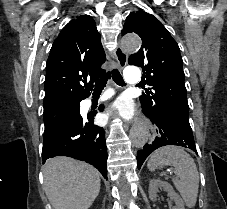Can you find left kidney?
Returning a JSON list of instances; mask_svg holds the SVG:
<instances>
[{"label":"left kidney","instance_id":"left-kidney-1","mask_svg":"<svg viewBox=\"0 0 227 209\" xmlns=\"http://www.w3.org/2000/svg\"><path fill=\"white\" fill-rule=\"evenodd\" d=\"M158 189H164V191L168 193V197H170L171 201H174L176 205L174 209H185L184 201H182L180 195L175 193L173 187H171L169 183H166V181H160V179H152V181H150L149 199H151V201H156Z\"/></svg>","mask_w":227,"mask_h":209}]
</instances>
